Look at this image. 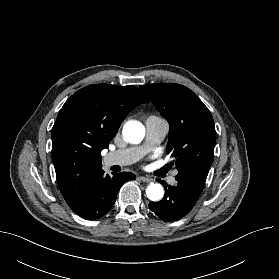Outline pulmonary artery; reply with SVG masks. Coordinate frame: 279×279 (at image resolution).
<instances>
[{"label":"pulmonary artery","mask_w":279,"mask_h":279,"mask_svg":"<svg viewBox=\"0 0 279 279\" xmlns=\"http://www.w3.org/2000/svg\"><path fill=\"white\" fill-rule=\"evenodd\" d=\"M145 126L146 137L145 142L142 145L110 152L105 156L104 163L109 166H124L136 162L154 146L161 143L169 130L168 122L165 119L156 116L148 117ZM168 181L170 184H175V174L170 176Z\"/></svg>","instance_id":"obj_1"}]
</instances>
